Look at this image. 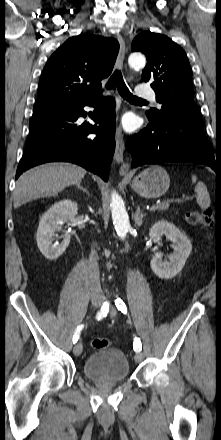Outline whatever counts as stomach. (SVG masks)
I'll use <instances>...</instances> for the list:
<instances>
[{"label":"stomach","instance_id":"stomach-1","mask_svg":"<svg viewBox=\"0 0 221 440\" xmlns=\"http://www.w3.org/2000/svg\"><path fill=\"white\" fill-rule=\"evenodd\" d=\"M131 186L141 197L158 198L169 189L170 177L164 168L153 165L134 177Z\"/></svg>","mask_w":221,"mask_h":440}]
</instances>
